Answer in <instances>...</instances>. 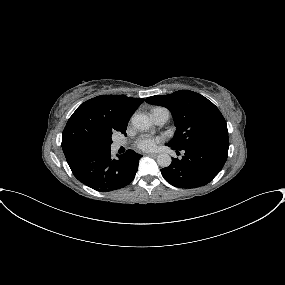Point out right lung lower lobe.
<instances>
[{"instance_id":"1","label":"right lung lower lobe","mask_w":285,"mask_h":285,"mask_svg":"<svg viewBox=\"0 0 285 285\" xmlns=\"http://www.w3.org/2000/svg\"><path fill=\"white\" fill-rule=\"evenodd\" d=\"M142 155L128 150L111 157L110 148H100L78 156L69 164L74 176L83 184L100 192L120 189L135 177Z\"/></svg>"}]
</instances>
